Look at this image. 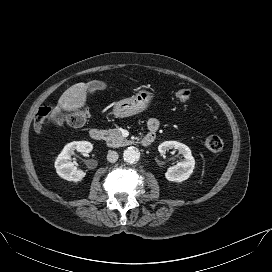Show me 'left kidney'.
<instances>
[{"label":"left kidney","instance_id":"left-kidney-1","mask_svg":"<svg viewBox=\"0 0 272 272\" xmlns=\"http://www.w3.org/2000/svg\"><path fill=\"white\" fill-rule=\"evenodd\" d=\"M170 149L178 150L183 155L184 160L176 166L168 168L165 177L172 182H183L193 173L195 167L194 157L188 146L177 141H165L158 146V151L161 154L166 153Z\"/></svg>","mask_w":272,"mask_h":272}]
</instances>
